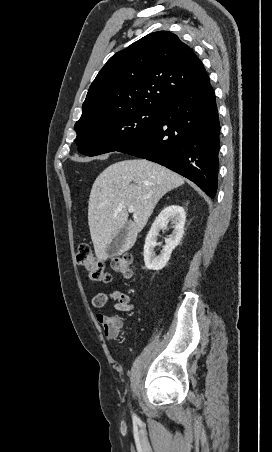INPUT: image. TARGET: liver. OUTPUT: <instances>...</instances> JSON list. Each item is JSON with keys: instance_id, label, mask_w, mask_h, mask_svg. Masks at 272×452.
<instances>
[{"instance_id": "liver-1", "label": "liver", "mask_w": 272, "mask_h": 452, "mask_svg": "<svg viewBox=\"0 0 272 452\" xmlns=\"http://www.w3.org/2000/svg\"><path fill=\"white\" fill-rule=\"evenodd\" d=\"M183 183L177 173L146 159L119 161L101 172L93 183L88 205V224L97 259L105 261L131 249L158 201ZM131 205L135 210L133 220L128 221ZM125 224L128 233L123 247L117 254H108V245Z\"/></svg>"}]
</instances>
